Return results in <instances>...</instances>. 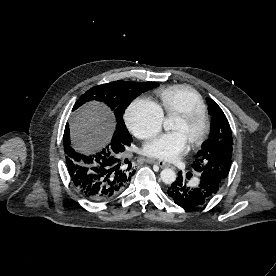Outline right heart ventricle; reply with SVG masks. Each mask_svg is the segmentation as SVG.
<instances>
[{"mask_svg":"<svg viewBox=\"0 0 276 276\" xmlns=\"http://www.w3.org/2000/svg\"><path fill=\"white\" fill-rule=\"evenodd\" d=\"M159 107L167 116H175L192 108L205 110L203 98L186 85H174L159 89Z\"/></svg>","mask_w":276,"mask_h":276,"instance_id":"obj_1","label":"right heart ventricle"}]
</instances>
